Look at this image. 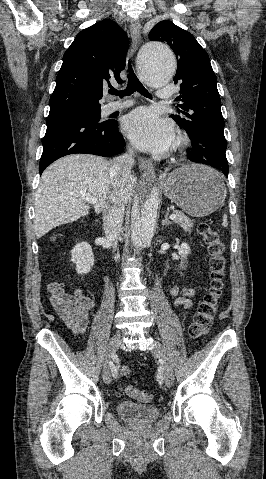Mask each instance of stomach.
<instances>
[{"label":"stomach","instance_id":"obj_1","mask_svg":"<svg viewBox=\"0 0 266 479\" xmlns=\"http://www.w3.org/2000/svg\"><path fill=\"white\" fill-rule=\"evenodd\" d=\"M164 194L185 213L204 217L224 202L226 187L221 175L204 165H184L162 182Z\"/></svg>","mask_w":266,"mask_h":479}]
</instances>
